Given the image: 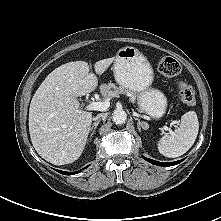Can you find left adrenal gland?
I'll list each match as a JSON object with an SVG mask.
<instances>
[{
  "label": "left adrenal gland",
  "instance_id": "1",
  "mask_svg": "<svg viewBox=\"0 0 221 221\" xmlns=\"http://www.w3.org/2000/svg\"><path fill=\"white\" fill-rule=\"evenodd\" d=\"M134 119L137 121V127L139 131L141 130V128L144 130L148 129V124L146 122L140 121V119L138 118H134Z\"/></svg>",
  "mask_w": 221,
  "mask_h": 221
}]
</instances>
